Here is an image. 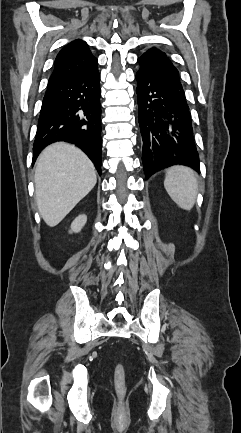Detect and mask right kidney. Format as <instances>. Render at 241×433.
Returning a JSON list of instances; mask_svg holds the SVG:
<instances>
[{
    "mask_svg": "<svg viewBox=\"0 0 241 433\" xmlns=\"http://www.w3.org/2000/svg\"><path fill=\"white\" fill-rule=\"evenodd\" d=\"M87 222V216L85 214H81L78 217H76L73 222L71 223V230L70 233H78L81 231V229L84 227V225Z\"/></svg>",
    "mask_w": 241,
    "mask_h": 433,
    "instance_id": "right-kidney-1",
    "label": "right kidney"
}]
</instances>
